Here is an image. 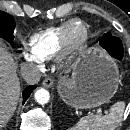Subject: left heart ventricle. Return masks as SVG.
Wrapping results in <instances>:
<instances>
[{"label":"left heart ventricle","instance_id":"1","mask_svg":"<svg viewBox=\"0 0 130 130\" xmlns=\"http://www.w3.org/2000/svg\"><path fill=\"white\" fill-rule=\"evenodd\" d=\"M81 35V30L79 28V26H76L74 29V37L78 38Z\"/></svg>","mask_w":130,"mask_h":130}]
</instances>
